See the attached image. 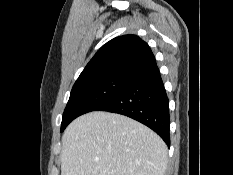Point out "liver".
Returning a JSON list of instances; mask_svg holds the SVG:
<instances>
[{"instance_id":"1","label":"liver","mask_w":233,"mask_h":175,"mask_svg":"<svg viewBox=\"0 0 233 175\" xmlns=\"http://www.w3.org/2000/svg\"><path fill=\"white\" fill-rule=\"evenodd\" d=\"M167 153L147 126L120 114L90 112L64 131L61 175H164Z\"/></svg>"}]
</instances>
